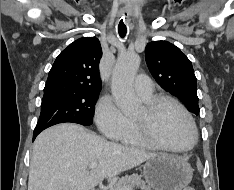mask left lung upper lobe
<instances>
[{"label": "left lung upper lobe", "mask_w": 234, "mask_h": 190, "mask_svg": "<svg viewBox=\"0 0 234 190\" xmlns=\"http://www.w3.org/2000/svg\"><path fill=\"white\" fill-rule=\"evenodd\" d=\"M148 68L157 83L178 97L189 111L199 114L196 77L191 61L174 44L153 41L145 48Z\"/></svg>", "instance_id": "5c2ea615"}]
</instances>
